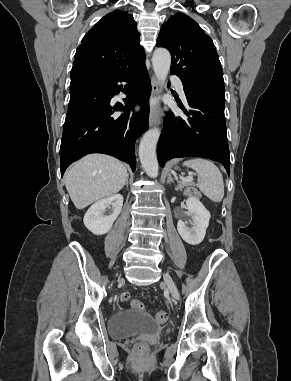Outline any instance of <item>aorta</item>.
<instances>
[{
    "label": "aorta",
    "mask_w": 291,
    "mask_h": 381,
    "mask_svg": "<svg viewBox=\"0 0 291 381\" xmlns=\"http://www.w3.org/2000/svg\"><path fill=\"white\" fill-rule=\"evenodd\" d=\"M152 65L156 78L160 83H165L171 65V56L167 49H155L152 57ZM160 136L158 128L148 130L142 137L139 145V158L145 172L150 177L158 175V161L156 146Z\"/></svg>",
    "instance_id": "aorta-1"
}]
</instances>
